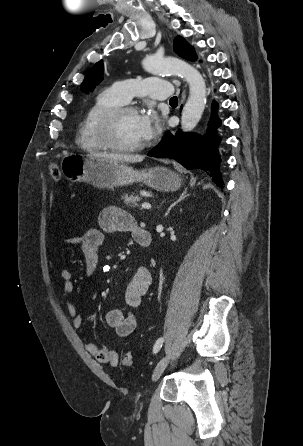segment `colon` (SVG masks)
I'll list each match as a JSON object with an SVG mask.
<instances>
[{
    "label": "colon",
    "mask_w": 303,
    "mask_h": 446,
    "mask_svg": "<svg viewBox=\"0 0 303 446\" xmlns=\"http://www.w3.org/2000/svg\"><path fill=\"white\" fill-rule=\"evenodd\" d=\"M50 172L54 180L61 181L63 179L62 171L55 165L50 167ZM133 362V353L131 351H127L123 353L121 357V363L124 366H130Z\"/></svg>",
    "instance_id": "obj_1"
}]
</instances>
